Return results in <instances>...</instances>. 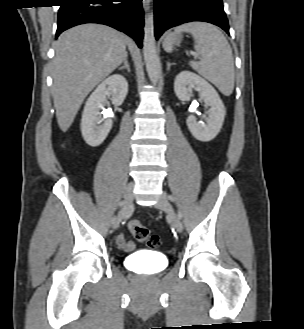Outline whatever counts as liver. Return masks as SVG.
<instances>
[{
    "mask_svg": "<svg viewBox=\"0 0 304 329\" xmlns=\"http://www.w3.org/2000/svg\"><path fill=\"white\" fill-rule=\"evenodd\" d=\"M126 37L100 24L63 32L55 43L52 95L60 129L66 132L89 92L124 61Z\"/></svg>",
    "mask_w": 304,
    "mask_h": 329,
    "instance_id": "6515ba94",
    "label": "liver"
}]
</instances>
